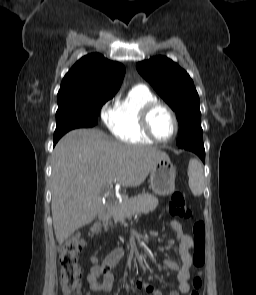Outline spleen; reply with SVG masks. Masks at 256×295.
Here are the masks:
<instances>
[{
    "label": "spleen",
    "instance_id": "3e777b00",
    "mask_svg": "<svg viewBox=\"0 0 256 295\" xmlns=\"http://www.w3.org/2000/svg\"><path fill=\"white\" fill-rule=\"evenodd\" d=\"M189 187L194 196H200L204 189L203 168L197 160H191L188 167Z\"/></svg>",
    "mask_w": 256,
    "mask_h": 295
}]
</instances>
